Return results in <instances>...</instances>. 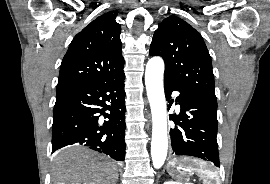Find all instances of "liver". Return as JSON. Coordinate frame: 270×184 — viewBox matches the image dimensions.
Returning a JSON list of instances; mask_svg holds the SVG:
<instances>
[{
  "mask_svg": "<svg viewBox=\"0 0 270 184\" xmlns=\"http://www.w3.org/2000/svg\"><path fill=\"white\" fill-rule=\"evenodd\" d=\"M52 184H117L114 162L84 147H70L55 155Z\"/></svg>",
  "mask_w": 270,
  "mask_h": 184,
  "instance_id": "6515ba94",
  "label": "liver"
}]
</instances>
